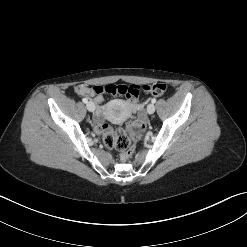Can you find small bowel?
<instances>
[{
  "label": "small bowel",
  "mask_w": 247,
  "mask_h": 247,
  "mask_svg": "<svg viewBox=\"0 0 247 247\" xmlns=\"http://www.w3.org/2000/svg\"><path fill=\"white\" fill-rule=\"evenodd\" d=\"M95 87H97V86H95ZM93 88H89L85 85H78L75 90L79 96L89 97V98L93 99V101L98 105V109H97V112H96L94 119H95V123L97 124V127L99 128L101 126L102 121H103V115H104V111H105V107L102 105L103 93H101L100 95L94 94ZM128 109L130 112H139V113L141 112V106L140 105L133 106L130 102H128Z\"/></svg>",
  "instance_id": "1"
}]
</instances>
